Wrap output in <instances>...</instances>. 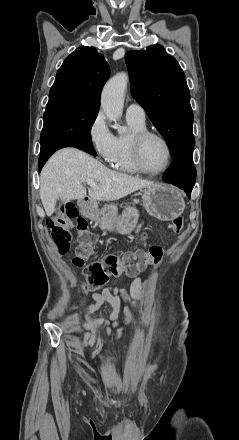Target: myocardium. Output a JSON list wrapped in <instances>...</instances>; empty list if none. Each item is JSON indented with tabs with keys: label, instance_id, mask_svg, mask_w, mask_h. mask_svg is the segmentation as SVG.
Segmentation results:
<instances>
[{
	"label": "myocardium",
	"instance_id": "1",
	"mask_svg": "<svg viewBox=\"0 0 239 440\" xmlns=\"http://www.w3.org/2000/svg\"><path fill=\"white\" fill-rule=\"evenodd\" d=\"M150 137H155V138L160 139L164 143V145L167 149V155H168L167 164L162 170L157 171V172H152V171L148 170L143 162V159H142V148H143L144 142ZM131 154H132V158H133V161H134L136 168L141 173L148 175V176H151V177H157V176L165 174L170 169L172 161H173V150H172L171 143L167 139V137L158 131L150 130V129H146V128L139 130L132 135Z\"/></svg>",
	"mask_w": 239,
	"mask_h": 440
}]
</instances>
